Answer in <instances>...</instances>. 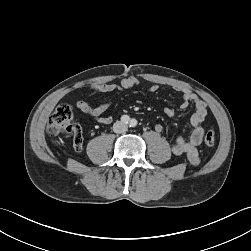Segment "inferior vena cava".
<instances>
[{
	"label": "inferior vena cava",
	"instance_id": "1",
	"mask_svg": "<svg viewBox=\"0 0 251 251\" xmlns=\"http://www.w3.org/2000/svg\"><path fill=\"white\" fill-rule=\"evenodd\" d=\"M113 131L115 133H125L127 131V125L121 121H117L113 125Z\"/></svg>",
	"mask_w": 251,
	"mask_h": 251
}]
</instances>
